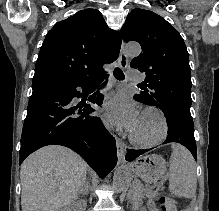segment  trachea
I'll list each match as a JSON object with an SVG mask.
<instances>
[{"label": "trachea", "instance_id": "trachea-1", "mask_svg": "<svg viewBox=\"0 0 219 211\" xmlns=\"http://www.w3.org/2000/svg\"><path fill=\"white\" fill-rule=\"evenodd\" d=\"M114 77L117 78V80H124V73L120 68H115L114 72ZM100 85V83L97 84V86Z\"/></svg>", "mask_w": 219, "mask_h": 211}]
</instances>
